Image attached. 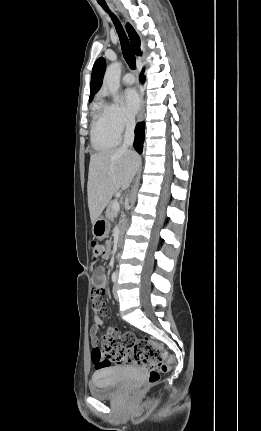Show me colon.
Returning a JSON list of instances; mask_svg holds the SVG:
<instances>
[{"instance_id":"colon-1","label":"colon","mask_w":261,"mask_h":431,"mask_svg":"<svg viewBox=\"0 0 261 431\" xmlns=\"http://www.w3.org/2000/svg\"><path fill=\"white\" fill-rule=\"evenodd\" d=\"M91 248L93 262L99 261L108 253L107 245L99 241H93ZM93 357L94 369H104L111 364V360L141 366L148 371L147 381L150 384L159 380L160 374L168 370L170 363L168 354L162 346L148 338L138 339L132 333H125L119 343H115L110 336L103 337L101 348L94 350ZM137 392L138 389L133 391Z\"/></svg>"}]
</instances>
